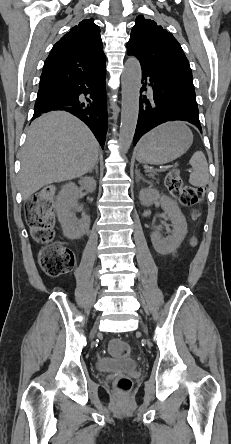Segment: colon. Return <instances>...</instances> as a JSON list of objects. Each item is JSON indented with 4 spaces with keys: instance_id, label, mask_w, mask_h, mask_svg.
<instances>
[{
    "instance_id": "obj_1",
    "label": "colon",
    "mask_w": 231,
    "mask_h": 444,
    "mask_svg": "<svg viewBox=\"0 0 231 444\" xmlns=\"http://www.w3.org/2000/svg\"><path fill=\"white\" fill-rule=\"evenodd\" d=\"M165 185L175 195L181 204L194 206L201 202L205 196L204 187H191L183 184L180 171L171 170L166 178ZM54 187H46L34 194L26 205V219L33 239L44 245L39 254V263L45 273L53 278L68 273L74 266L75 259L72 251L66 247L53 244L54 237ZM192 219L199 216V212L193 209ZM109 351L115 356H127L130 353L129 345L120 339H114L109 344ZM115 388L120 393H127L132 381L128 376L121 375L115 380Z\"/></svg>"
}]
</instances>
